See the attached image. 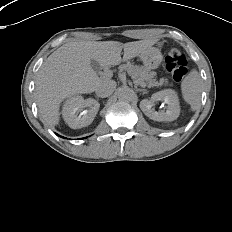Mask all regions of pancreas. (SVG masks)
I'll use <instances>...</instances> for the list:
<instances>
[{
	"label": "pancreas",
	"mask_w": 232,
	"mask_h": 232,
	"mask_svg": "<svg viewBox=\"0 0 232 232\" xmlns=\"http://www.w3.org/2000/svg\"><path fill=\"white\" fill-rule=\"evenodd\" d=\"M120 71H127V73L137 82L146 83L149 87L167 85V79H160L156 81V73L149 68L134 66L131 63L122 64L119 66Z\"/></svg>",
	"instance_id": "cf45deb5"
}]
</instances>
